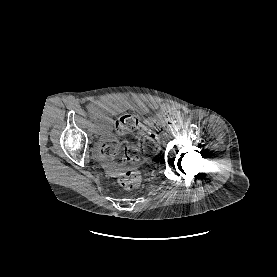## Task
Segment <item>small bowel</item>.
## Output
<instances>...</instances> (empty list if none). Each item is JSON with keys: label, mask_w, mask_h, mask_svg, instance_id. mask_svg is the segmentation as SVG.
Wrapping results in <instances>:
<instances>
[{"label": "small bowel", "mask_w": 277, "mask_h": 277, "mask_svg": "<svg viewBox=\"0 0 277 277\" xmlns=\"http://www.w3.org/2000/svg\"><path fill=\"white\" fill-rule=\"evenodd\" d=\"M137 106L138 109L143 113L147 112L149 108L157 110L159 115L163 116L174 112V109L167 104H147L144 102H139ZM122 107H124V103L121 101L112 102L105 99L94 100L89 104L90 113L92 114L93 118L98 122V126L100 127L101 132L103 134L107 132L110 126L111 115L118 112L119 109ZM154 122L155 118L152 117L148 118L146 121L148 125H152ZM105 167L111 174L117 173V169L114 164L107 162L105 164Z\"/></svg>", "instance_id": "small-bowel-1"}]
</instances>
